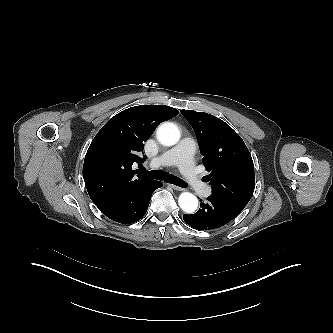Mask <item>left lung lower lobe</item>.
Instances as JSON below:
<instances>
[{
	"mask_svg": "<svg viewBox=\"0 0 333 333\" xmlns=\"http://www.w3.org/2000/svg\"><path fill=\"white\" fill-rule=\"evenodd\" d=\"M207 200L206 203L200 200L201 208L195 214L183 215V220L191 227L201 230L216 229L225 225L240 213L213 195H210Z\"/></svg>",
	"mask_w": 333,
	"mask_h": 333,
	"instance_id": "left-lung-lower-lobe-1",
	"label": "left lung lower lobe"
}]
</instances>
